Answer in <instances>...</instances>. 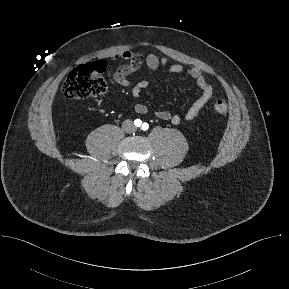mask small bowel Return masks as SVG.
<instances>
[{
	"instance_id": "obj_1",
	"label": "small bowel",
	"mask_w": 289,
	"mask_h": 289,
	"mask_svg": "<svg viewBox=\"0 0 289 289\" xmlns=\"http://www.w3.org/2000/svg\"><path fill=\"white\" fill-rule=\"evenodd\" d=\"M124 60L126 63L119 65L113 72L114 81L131 90L133 96L138 97L140 93L147 89L150 83L147 80H141L133 83L129 76L137 71L142 65H145L152 73L156 72L160 67H164L168 72L174 74L185 73L192 78L200 96L193 102L184 115L186 121H192L199 117L204 107L214 98V86L208 82L203 72L196 67L185 68L181 64H169L166 57H159L153 53H142L135 51H123L120 54L109 58V61ZM134 110L138 114H146L148 107L143 103H137ZM155 115L164 121H168L174 125L181 123L182 118L177 114H172L165 110L155 111Z\"/></svg>"
}]
</instances>
